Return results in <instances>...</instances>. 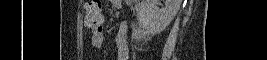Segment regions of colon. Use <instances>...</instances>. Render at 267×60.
Listing matches in <instances>:
<instances>
[{"label": "colon", "mask_w": 267, "mask_h": 60, "mask_svg": "<svg viewBox=\"0 0 267 60\" xmlns=\"http://www.w3.org/2000/svg\"><path fill=\"white\" fill-rule=\"evenodd\" d=\"M85 22L90 27H98L102 22V8L98 1H91L86 7Z\"/></svg>", "instance_id": "obj_1"}]
</instances>
